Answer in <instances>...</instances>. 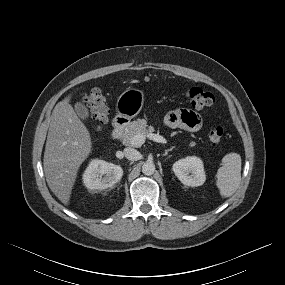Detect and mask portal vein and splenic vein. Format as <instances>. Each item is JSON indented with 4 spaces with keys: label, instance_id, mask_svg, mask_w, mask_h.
Wrapping results in <instances>:
<instances>
[{
    "label": "portal vein and splenic vein",
    "instance_id": "1",
    "mask_svg": "<svg viewBox=\"0 0 285 285\" xmlns=\"http://www.w3.org/2000/svg\"><path fill=\"white\" fill-rule=\"evenodd\" d=\"M146 138H150L151 140L158 143H163V144L167 143V140L164 137L158 134L150 133L148 135H143V134L135 135L134 137L131 138V144L135 147H140L141 145L144 144Z\"/></svg>",
    "mask_w": 285,
    "mask_h": 285
}]
</instances>
